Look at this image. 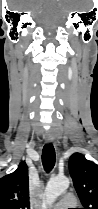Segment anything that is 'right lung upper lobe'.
Masks as SVG:
<instances>
[{"instance_id":"obj_1","label":"right lung upper lobe","mask_w":98,"mask_h":209,"mask_svg":"<svg viewBox=\"0 0 98 209\" xmlns=\"http://www.w3.org/2000/svg\"><path fill=\"white\" fill-rule=\"evenodd\" d=\"M0 209H30L28 167L25 162L0 179Z\"/></svg>"}]
</instances>
